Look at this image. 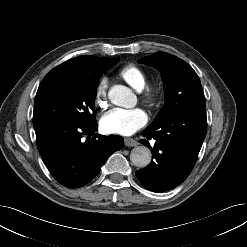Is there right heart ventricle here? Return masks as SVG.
I'll return each mask as SVG.
<instances>
[{
    "mask_svg": "<svg viewBox=\"0 0 247 247\" xmlns=\"http://www.w3.org/2000/svg\"><path fill=\"white\" fill-rule=\"evenodd\" d=\"M118 76L131 86L136 91H142L147 83V76L145 71L134 64H127L123 66Z\"/></svg>",
    "mask_w": 247,
    "mask_h": 247,
    "instance_id": "right-heart-ventricle-1",
    "label": "right heart ventricle"
}]
</instances>
